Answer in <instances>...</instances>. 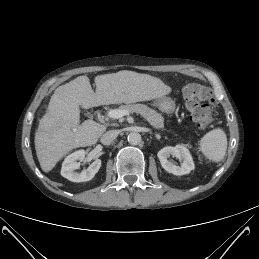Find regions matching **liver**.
<instances>
[{"mask_svg":"<svg viewBox=\"0 0 259 259\" xmlns=\"http://www.w3.org/2000/svg\"><path fill=\"white\" fill-rule=\"evenodd\" d=\"M96 92L87 76L59 86L51 96L46 114L35 133V150L44 172L51 171L69 151L95 144L106 126L86 120L80 124V108L135 103L162 97L170 92L160 79L123 70L95 77Z\"/></svg>","mask_w":259,"mask_h":259,"instance_id":"obj_1","label":"liver"}]
</instances>
